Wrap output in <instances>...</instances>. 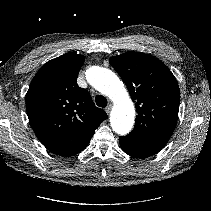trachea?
<instances>
[{
  "label": "trachea",
  "mask_w": 211,
  "mask_h": 211,
  "mask_svg": "<svg viewBox=\"0 0 211 211\" xmlns=\"http://www.w3.org/2000/svg\"><path fill=\"white\" fill-rule=\"evenodd\" d=\"M95 102L99 107H106L107 106V99L103 95H97L95 97Z\"/></svg>",
  "instance_id": "1"
}]
</instances>
